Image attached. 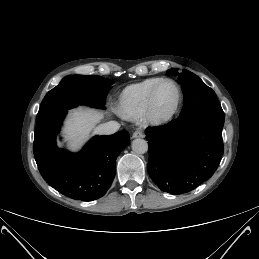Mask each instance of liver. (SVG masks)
<instances>
[{
	"instance_id": "obj_1",
	"label": "liver",
	"mask_w": 259,
	"mask_h": 259,
	"mask_svg": "<svg viewBox=\"0 0 259 259\" xmlns=\"http://www.w3.org/2000/svg\"><path fill=\"white\" fill-rule=\"evenodd\" d=\"M102 118L103 114L95 109L79 107L70 111L63 128L69 149L77 151Z\"/></svg>"
}]
</instances>
